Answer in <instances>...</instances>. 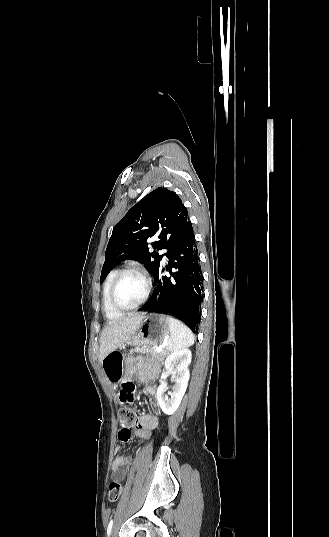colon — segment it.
Wrapping results in <instances>:
<instances>
[{
	"label": "colon",
	"mask_w": 329,
	"mask_h": 537,
	"mask_svg": "<svg viewBox=\"0 0 329 537\" xmlns=\"http://www.w3.org/2000/svg\"><path fill=\"white\" fill-rule=\"evenodd\" d=\"M135 391V390H134ZM131 400L130 403L133 402ZM129 403V404H130ZM120 430L125 429L130 433L132 427L137 423L136 412L131 407H122L119 414ZM122 493V484L118 481H112L109 485L108 497L111 501L119 499Z\"/></svg>",
	"instance_id": "colon-1"
}]
</instances>
